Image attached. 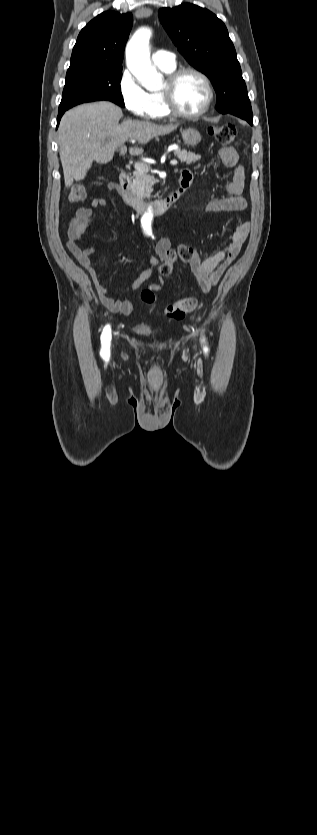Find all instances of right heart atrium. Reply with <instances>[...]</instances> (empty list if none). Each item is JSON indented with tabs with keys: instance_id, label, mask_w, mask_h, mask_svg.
Here are the masks:
<instances>
[{
	"instance_id": "1",
	"label": "right heart atrium",
	"mask_w": 317,
	"mask_h": 835,
	"mask_svg": "<svg viewBox=\"0 0 317 835\" xmlns=\"http://www.w3.org/2000/svg\"><path fill=\"white\" fill-rule=\"evenodd\" d=\"M118 89L125 107L135 116L143 119L153 117L149 93L138 83L132 72L124 69L118 81Z\"/></svg>"
}]
</instances>
